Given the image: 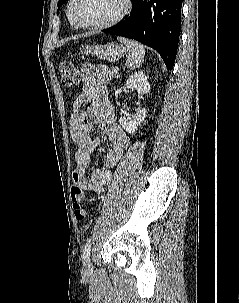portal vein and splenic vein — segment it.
<instances>
[{"label": "portal vein and splenic vein", "instance_id": "obj_1", "mask_svg": "<svg viewBox=\"0 0 239 303\" xmlns=\"http://www.w3.org/2000/svg\"><path fill=\"white\" fill-rule=\"evenodd\" d=\"M118 71H119V69H118L117 67H115V68L113 69V72H115V73H118Z\"/></svg>", "mask_w": 239, "mask_h": 303}]
</instances>
